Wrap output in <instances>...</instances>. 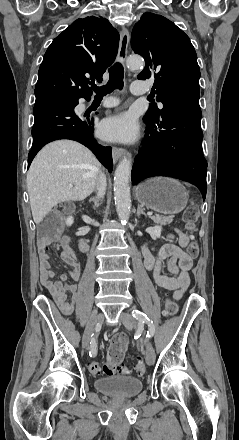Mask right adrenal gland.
Listing matches in <instances>:
<instances>
[{
    "label": "right adrenal gland",
    "instance_id": "1",
    "mask_svg": "<svg viewBox=\"0 0 239 440\" xmlns=\"http://www.w3.org/2000/svg\"><path fill=\"white\" fill-rule=\"evenodd\" d=\"M89 202H93L94 204V210H97L99 208L100 204H102L103 200H99V198H91Z\"/></svg>",
    "mask_w": 239,
    "mask_h": 440
}]
</instances>
